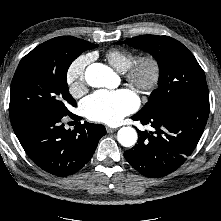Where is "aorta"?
<instances>
[{"label": "aorta", "instance_id": "762f6f07", "mask_svg": "<svg viewBox=\"0 0 221 221\" xmlns=\"http://www.w3.org/2000/svg\"><path fill=\"white\" fill-rule=\"evenodd\" d=\"M116 75L106 65L93 63L85 71V80L92 87H110ZM118 142L124 147H132L137 142V132L132 127H122L117 133Z\"/></svg>", "mask_w": 221, "mask_h": 221}]
</instances>
